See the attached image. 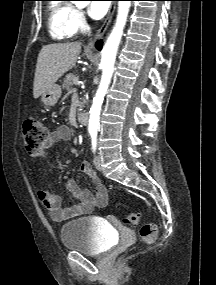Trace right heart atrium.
<instances>
[{"label":"right heart atrium","instance_id":"1","mask_svg":"<svg viewBox=\"0 0 216 285\" xmlns=\"http://www.w3.org/2000/svg\"><path fill=\"white\" fill-rule=\"evenodd\" d=\"M74 23L77 30L83 31L87 27V20L84 12L81 9L74 11Z\"/></svg>","mask_w":216,"mask_h":285}]
</instances>
